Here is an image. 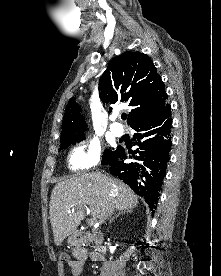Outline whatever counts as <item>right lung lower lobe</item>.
Instances as JSON below:
<instances>
[{"label": "right lung lower lobe", "instance_id": "1", "mask_svg": "<svg viewBox=\"0 0 221 276\" xmlns=\"http://www.w3.org/2000/svg\"><path fill=\"white\" fill-rule=\"evenodd\" d=\"M134 130V145L138 148L129 155L134 160L124 163L125 149L118 147L104 165L110 172L142 196L150 208H155L166 175L171 150V106L130 125Z\"/></svg>", "mask_w": 221, "mask_h": 276}]
</instances>
